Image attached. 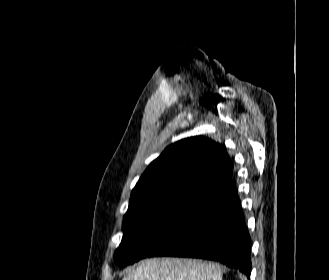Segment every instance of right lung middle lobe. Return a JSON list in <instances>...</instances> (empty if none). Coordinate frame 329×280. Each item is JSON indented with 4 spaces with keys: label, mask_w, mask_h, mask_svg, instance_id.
Returning a JSON list of instances; mask_svg holds the SVG:
<instances>
[{
    "label": "right lung middle lobe",
    "mask_w": 329,
    "mask_h": 280,
    "mask_svg": "<svg viewBox=\"0 0 329 280\" xmlns=\"http://www.w3.org/2000/svg\"><path fill=\"white\" fill-rule=\"evenodd\" d=\"M205 199L193 196H172L151 201L127 211L124 235L114 254L119 266L133 264L149 257L187 219L204 204Z\"/></svg>",
    "instance_id": "obj_1"
}]
</instances>
